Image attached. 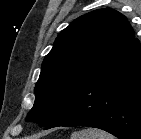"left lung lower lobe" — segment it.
I'll return each instance as SVG.
<instances>
[{"label": "left lung lower lobe", "mask_w": 141, "mask_h": 139, "mask_svg": "<svg viewBox=\"0 0 141 139\" xmlns=\"http://www.w3.org/2000/svg\"><path fill=\"white\" fill-rule=\"evenodd\" d=\"M90 126L141 139V47L134 38L90 74L45 129Z\"/></svg>", "instance_id": "1"}]
</instances>
